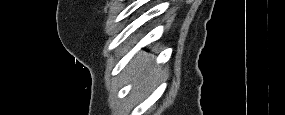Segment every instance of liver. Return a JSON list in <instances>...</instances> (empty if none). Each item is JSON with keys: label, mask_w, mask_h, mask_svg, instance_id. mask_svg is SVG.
<instances>
[{"label": "liver", "mask_w": 285, "mask_h": 115, "mask_svg": "<svg viewBox=\"0 0 285 115\" xmlns=\"http://www.w3.org/2000/svg\"><path fill=\"white\" fill-rule=\"evenodd\" d=\"M151 59L145 52H140L129 64L127 72L132 75L136 92L147 94L155 87L161 77V69L151 65Z\"/></svg>", "instance_id": "liver-1"}]
</instances>
